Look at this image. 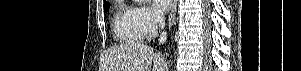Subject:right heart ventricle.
<instances>
[{
    "mask_svg": "<svg viewBox=\"0 0 301 71\" xmlns=\"http://www.w3.org/2000/svg\"><path fill=\"white\" fill-rule=\"evenodd\" d=\"M113 32L115 38L125 44L141 43L145 38L137 24L134 9L122 3L115 13Z\"/></svg>",
    "mask_w": 301,
    "mask_h": 71,
    "instance_id": "right-heart-ventricle-1",
    "label": "right heart ventricle"
}]
</instances>
